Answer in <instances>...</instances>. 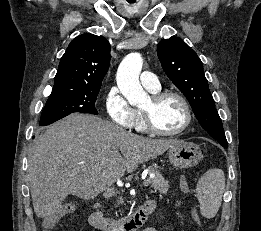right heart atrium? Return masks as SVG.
<instances>
[{
  "label": "right heart atrium",
  "mask_w": 261,
  "mask_h": 231,
  "mask_svg": "<svg viewBox=\"0 0 261 231\" xmlns=\"http://www.w3.org/2000/svg\"><path fill=\"white\" fill-rule=\"evenodd\" d=\"M105 108L111 121L125 130H130L136 122V110L130 106L117 87H112L105 98Z\"/></svg>",
  "instance_id": "1"
}]
</instances>
